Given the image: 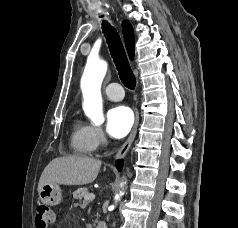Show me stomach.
<instances>
[{"instance_id": "stomach-1", "label": "stomach", "mask_w": 238, "mask_h": 228, "mask_svg": "<svg viewBox=\"0 0 238 228\" xmlns=\"http://www.w3.org/2000/svg\"><path fill=\"white\" fill-rule=\"evenodd\" d=\"M39 198L44 204L55 206L62 200V190L58 184L46 183L39 192Z\"/></svg>"}]
</instances>
